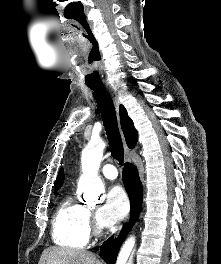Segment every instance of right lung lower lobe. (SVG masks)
<instances>
[{"label":"right lung lower lobe","mask_w":221,"mask_h":264,"mask_svg":"<svg viewBox=\"0 0 221 264\" xmlns=\"http://www.w3.org/2000/svg\"><path fill=\"white\" fill-rule=\"evenodd\" d=\"M122 178L130 199L131 217L129 224L123 227L117 239L114 240V238L111 237L101 246L100 254L107 264H115L119 248L133 227L142 206V184L135 166L131 163H126L123 169Z\"/></svg>","instance_id":"obj_1"}]
</instances>
